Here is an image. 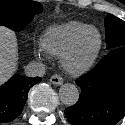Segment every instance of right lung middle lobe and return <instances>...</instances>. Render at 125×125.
<instances>
[{
	"instance_id": "obj_1",
	"label": "right lung middle lobe",
	"mask_w": 125,
	"mask_h": 125,
	"mask_svg": "<svg viewBox=\"0 0 125 125\" xmlns=\"http://www.w3.org/2000/svg\"><path fill=\"white\" fill-rule=\"evenodd\" d=\"M42 10L39 2L31 0H0V25L22 31Z\"/></svg>"
}]
</instances>
